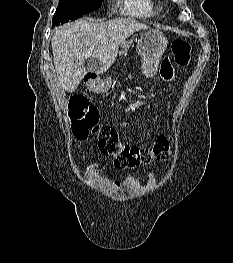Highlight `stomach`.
<instances>
[{
	"label": "stomach",
	"instance_id": "1",
	"mask_svg": "<svg viewBox=\"0 0 233 263\" xmlns=\"http://www.w3.org/2000/svg\"><path fill=\"white\" fill-rule=\"evenodd\" d=\"M167 43L165 35L157 29H150L141 35L137 49L142 58V72L146 77H153L156 74L159 61L167 48ZM109 81H112V78H109ZM88 85L91 90L97 93L118 86L106 80L93 81Z\"/></svg>",
	"mask_w": 233,
	"mask_h": 263
}]
</instances>
